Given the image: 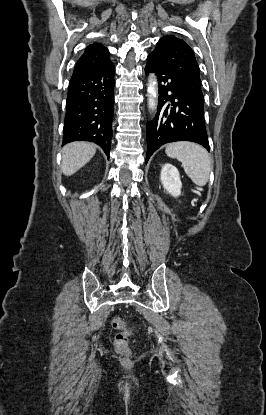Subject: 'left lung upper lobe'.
I'll list each match as a JSON object with an SVG mask.
<instances>
[{
  "label": "left lung upper lobe",
  "mask_w": 266,
  "mask_h": 415,
  "mask_svg": "<svg viewBox=\"0 0 266 415\" xmlns=\"http://www.w3.org/2000/svg\"><path fill=\"white\" fill-rule=\"evenodd\" d=\"M199 102L204 104L200 69L190 46L173 35L162 37L152 52Z\"/></svg>",
  "instance_id": "5c2ea615"
}]
</instances>
